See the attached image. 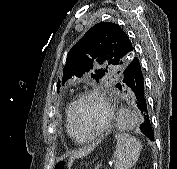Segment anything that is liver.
I'll return each mask as SVG.
<instances>
[{
    "mask_svg": "<svg viewBox=\"0 0 177 169\" xmlns=\"http://www.w3.org/2000/svg\"><path fill=\"white\" fill-rule=\"evenodd\" d=\"M81 152L80 153H78V154H74L72 157H71V159H70V162H69V165H71L72 164V162H73V160L75 159V158H77V157H79V156H81Z\"/></svg>",
    "mask_w": 177,
    "mask_h": 169,
    "instance_id": "liver-1",
    "label": "liver"
}]
</instances>
